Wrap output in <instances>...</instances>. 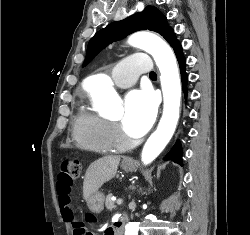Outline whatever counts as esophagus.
Wrapping results in <instances>:
<instances>
[{
    "label": "esophagus",
    "mask_w": 250,
    "mask_h": 235,
    "mask_svg": "<svg viewBox=\"0 0 250 235\" xmlns=\"http://www.w3.org/2000/svg\"><path fill=\"white\" fill-rule=\"evenodd\" d=\"M124 162H125V163H132L133 160H132V159H129V158H126V159H124Z\"/></svg>",
    "instance_id": "1"
}]
</instances>
